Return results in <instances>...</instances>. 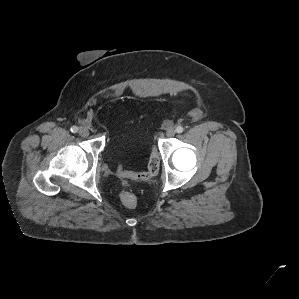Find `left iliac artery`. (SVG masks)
Listing matches in <instances>:
<instances>
[{"instance_id":"1","label":"left iliac artery","mask_w":299,"mask_h":299,"mask_svg":"<svg viewBox=\"0 0 299 299\" xmlns=\"http://www.w3.org/2000/svg\"><path fill=\"white\" fill-rule=\"evenodd\" d=\"M184 131V128L182 127V126H178L177 128H176V132L177 133H182Z\"/></svg>"}]
</instances>
